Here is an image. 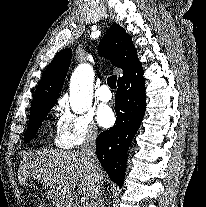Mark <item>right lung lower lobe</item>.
Here are the masks:
<instances>
[{
  "mask_svg": "<svg viewBox=\"0 0 206 207\" xmlns=\"http://www.w3.org/2000/svg\"><path fill=\"white\" fill-rule=\"evenodd\" d=\"M143 68L139 63L118 80L115 96L116 124L96 140V154L110 179L123 185L127 150L140 127L146 107Z\"/></svg>",
  "mask_w": 206,
  "mask_h": 207,
  "instance_id": "1",
  "label": "right lung lower lobe"
}]
</instances>
